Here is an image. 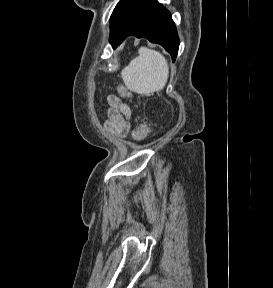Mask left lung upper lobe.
<instances>
[{
    "instance_id": "5c2ea615",
    "label": "left lung upper lobe",
    "mask_w": 273,
    "mask_h": 288,
    "mask_svg": "<svg viewBox=\"0 0 273 288\" xmlns=\"http://www.w3.org/2000/svg\"><path fill=\"white\" fill-rule=\"evenodd\" d=\"M131 0H120L110 18V38L114 35L118 22Z\"/></svg>"
}]
</instances>
